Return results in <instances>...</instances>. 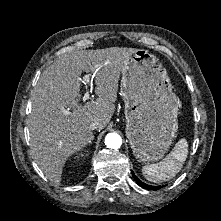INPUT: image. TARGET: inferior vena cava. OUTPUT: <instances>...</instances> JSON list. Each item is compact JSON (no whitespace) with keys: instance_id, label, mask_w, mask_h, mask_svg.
Returning a JSON list of instances; mask_svg holds the SVG:
<instances>
[{"instance_id":"1","label":"inferior vena cava","mask_w":221,"mask_h":221,"mask_svg":"<svg viewBox=\"0 0 221 221\" xmlns=\"http://www.w3.org/2000/svg\"><path fill=\"white\" fill-rule=\"evenodd\" d=\"M101 124L98 121H94L91 123L90 127L92 130L99 129Z\"/></svg>"}]
</instances>
